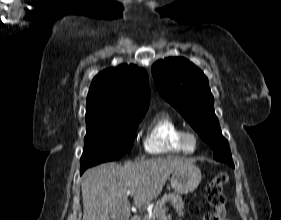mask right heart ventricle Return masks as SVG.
Here are the masks:
<instances>
[{
    "label": "right heart ventricle",
    "mask_w": 281,
    "mask_h": 220,
    "mask_svg": "<svg viewBox=\"0 0 281 220\" xmlns=\"http://www.w3.org/2000/svg\"><path fill=\"white\" fill-rule=\"evenodd\" d=\"M181 125L167 112L156 114L144 138V149L152 155L187 153L182 147Z\"/></svg>",
    "instance_id": "right-heart-ventricle-1"
}]
</instances>
